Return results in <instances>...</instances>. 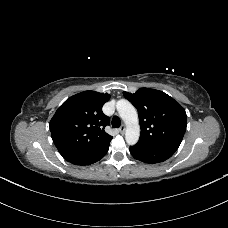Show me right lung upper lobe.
Here are the masks:
<instances>
[{"instance_id":"obj_1","label":"right lung upper lobe","mask_w":228,"mask_h":228,"mask_svg":"<svg viewBox=\"0 0 228 228\" xmlns=\"http://www.w3.org/2000/svg\"><path fill=\"white\" fill-rule=\"evenodd\" d=\"M109 98V94L84 91L58 108L50 121V131L63 158L90 152L112 140L104 130L109 118L102 112Z\"/></svg>"}]
</instances>
